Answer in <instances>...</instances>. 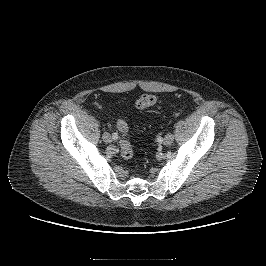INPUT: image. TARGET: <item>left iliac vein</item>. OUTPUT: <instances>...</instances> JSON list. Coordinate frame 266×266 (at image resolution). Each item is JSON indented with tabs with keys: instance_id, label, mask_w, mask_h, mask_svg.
Masks as SVG:
<instances>
[{
	"instance_id": "left-iliac-vein-1",
	"label": "left iliac vein",
	"mask_w": 266,
	"mask_h": 266,
	"mask_svg": "<svg viewBox=\"0 0 266 266\" xmlns=\"http://www.w3.org/2000/svg\"><path fill=\"white\" fill-rule=\"evenodd\" d=\"M173 140H174L173 134L172 133H168L165 136V138L163 139V144L164 145H170V144H172Z\"/></svg>"
}]
</instances>
